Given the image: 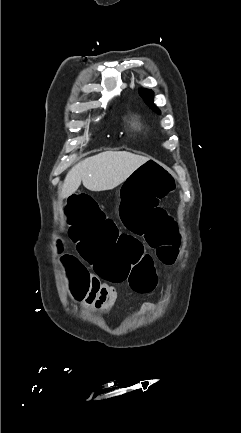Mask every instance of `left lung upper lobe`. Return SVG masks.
Instances as JSON below:
<instances>
[{
	"label": "left lung upper lobe",
	"instance_id": "left-lung-upper-lobe-1",
	"mask_svg": "<svg viewBox=\"0 0 241 433\" xmlns=\"http://www.w3.org/2000/svg\"><path fill=\"white\" fill-rule=\"evenodd\" d=\"M141 96L145 99V101L157 112H160L159 109L153 104V92L151 90H141Z\"/></svg>",
	"mask_w": 241,
	"mask_h": 433
}]
</instances>
